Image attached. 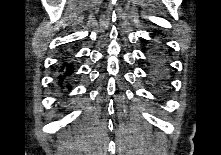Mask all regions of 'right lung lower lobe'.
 Wrapping results in <instances>:
<instances>
[{"label":"right lung lower lobe","instance_id":"1","mask_svg":"<svg viewBox=\"0 0 221 155\" xmlns=\"http://www.w3.org/2000/svg\"><path fill=\"white\" fill-rule=\"evenodd\" d=\"M63 68H64V71H65V74H69L73 71V67L71 64H65L63 65ZM64 77V76H63ZM63 79L61 78L60 76V81H62ZM69 86V85H68Z\"/></svg>","mask_w":221,"mask_h":155}]
</instances>
